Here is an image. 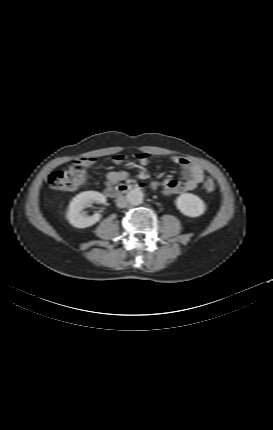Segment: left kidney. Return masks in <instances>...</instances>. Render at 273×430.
<instances>
[{
	"label": "left kidney",
	"instance_id": "5707ae66",
	"mask_svg": "<svg viewBox=\"0 0 273 430\" xmlns=\"http://www.w3.org/2000/svg\"><path fill=\"white\" fill-rule=\"evenodd\" d=\"M178 210L188 217H198L206 210L205 202L192 193H185L177 197L175 201Z\"/></svg>",
	"mask_w": 273,
	"mask_h": 430
}]
</instances>
